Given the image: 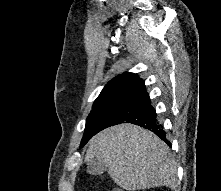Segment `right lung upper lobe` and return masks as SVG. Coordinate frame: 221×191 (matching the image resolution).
Listing matches in <instances>:
<instances>
[{
	"mask_svg": "<svg viewBox=\"0 0 221 191\" xmlns=\"http://www.w3.org/2000/svg\"><path fill=\"white\" fill-rule=\"evenodd\" d=\"M143 83L144 81L136 74L124 73L108 82L93 105H98L114 100L119 101L128 92Z\"/></svg>",
	"mask_w": 221,
	"mask_h": 191,
	"instance_id": "cb5924a9",
	"label": "right lung upper lobe"
}]
</instances>
